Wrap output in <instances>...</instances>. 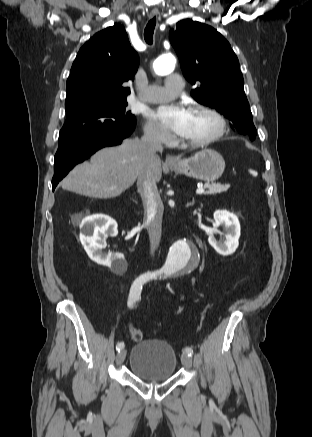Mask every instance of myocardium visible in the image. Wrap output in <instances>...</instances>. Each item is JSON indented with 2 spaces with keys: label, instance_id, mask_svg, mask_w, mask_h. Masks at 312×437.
<instances>
[{
  "label": "myocardium",
  "instance_id": "f54148a6",
  "mask_svg": "<svg viewBox=\"0 0 312 437\" xmlns=\"http://www.w3.org/2000/svg\"><path fill=\"white\" fill-rule=\"evenodd\" d=\"M192 111L206 114V115L212 117L216 122V128L210 135H208L204 138L198 139V140L181 139L180 142L182 144H185L188 146H193V147H200V146L208 145V144L218 140L219 138H221L224 135V133L227 129V120L221 112H219L215 108H212V107L206 106V105H196L193 107Z\"/></svg>",
  "mask_w": 312,
  "mask_h": 437
}]
</instances>
